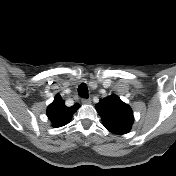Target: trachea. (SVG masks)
<instances>
[{
    "mask_svg": "<svg viewBox=\"0 0 176 176\" xmlns=\"http://www.w3.org/2000/svg\"><path fill=\"white\" fill-rule=\"evenodd\" d=\"M79 96L82 98H88V89L85 83H82L78 88Z\"/></svg>",
    "mask_w": 176,
    "mask_h": 176,
    "instance_id": "1",
    "label": "trachea"
}]
</instances>
